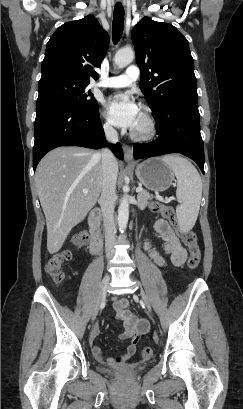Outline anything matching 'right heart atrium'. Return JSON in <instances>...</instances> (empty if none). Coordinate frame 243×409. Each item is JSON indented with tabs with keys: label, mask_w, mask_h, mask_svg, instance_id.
Returning a JSON list of instances; mask_svg holds the SVG:
<instances>
[{
	"label": "right heart atrium",
	"mask_w": 243,
	"mask_h": 409,
	"mask_svg": "<svg viewBox=\"0 0 243 409\" xmlns=\"http://www.w3.org/2000/svg\"><path fill=\"white\" fill-rule=\"evenodd\" d=\"M103 128L108 133L113 132V127L108 122L103 123Z\"/></svg>",
	"instance_id": "right-heart-atrium-1"
}]
</instances>
